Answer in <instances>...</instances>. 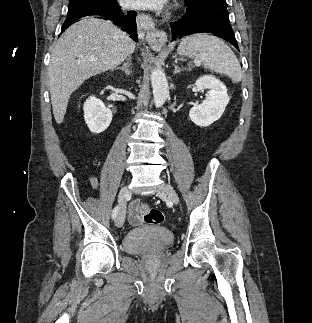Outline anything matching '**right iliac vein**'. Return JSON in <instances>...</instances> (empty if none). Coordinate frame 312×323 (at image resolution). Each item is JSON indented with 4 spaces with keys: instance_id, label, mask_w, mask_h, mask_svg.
Here are the masks:
<instances>
[{
    "instance_id": "obj_1",
    "label": "right iliac vein",
    "mask_w": 312,
    "mask_h": 323,
    "mask_svg": "<svg viewBox=\"0 0 312 323\" xmlns=\"http://www.w3.org/2000/svg\"><path fill=\"white\" fill-rule=\"evenodd\" d=\"M129 197V190L127 186H123L118 195V202L120 205V209L116 218V226L121 227L125 222L126 215V200Z\"/></svg>"
}]
</instances>
